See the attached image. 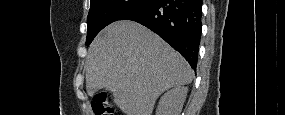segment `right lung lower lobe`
<instances>
[{
    "label": "right lung lower lobe",
    "mask_w": 285,
    "mask_h": 115,
    "mask_svg": "<svg viewBox=\"0 0 285 115\" xmlns=\"http://www.w3.org/2000/svg\"><path fill=\"white\" fill-rule=\"evenodd\" d=\"M202 0H151L119 20L136 21L157 33L196 70Z\"/></svg>",
    "instance_id": "right-lung-lower-lobe-1"
}]
</instances>
